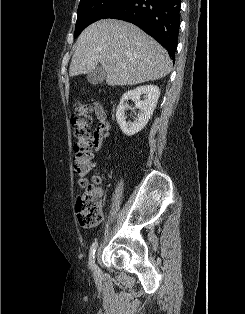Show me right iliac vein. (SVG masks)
I'll list each match as a JSON object with an SVG mask.
<instances>
[{"instance_id": "63e3f726", "label": "right iliac vein", "mask_w": 245, "mask_h": 314, "mask_svg": "<svg viewBox=\"0 0 245 314\" xmlns=\"http://www.w3.org/2000/svg\"><path fill=\"white\" fill-rule=\"evenodd\" d=\"M93 272H94V274H95V275H97V274H98V268H97V266H96V265H94V267H93Z\"/></svg>"}]
</instances>
